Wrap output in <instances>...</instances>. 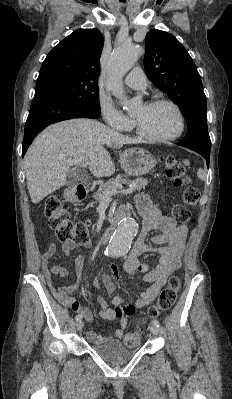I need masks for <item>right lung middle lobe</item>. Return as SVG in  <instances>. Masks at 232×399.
<instances>
[{
    "label": "right lung middle lobe",
    "mask_w": 232,
    "mask_h": 399,
    "mask_svg": "<svg viewBox=\"0 0 232 399\" xmlns=\"http://www.w3.org/2000/svg\"><path fill=\"white\" fill-rule=\"evenodd\" d=\"M35 89H50L56 91L75 102L83 104L92 109V111L101 112L97 83L84 82L66 77H56L37 81Z\"/></svg>",
    "instance_id": "obj_1"
}]
</instances>
